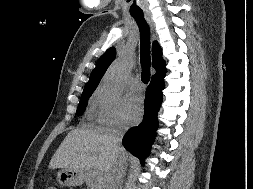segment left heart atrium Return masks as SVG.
<instances>
[{"label": "left heart atrium", "mask_w": 253, "mask_h": 189, "mask_svg": "<svg viewBox=\"0 0 253 189\" xmlns=\"http://www.w3.org/2000/svg\"><path fill=\"white\" fill-rule=\"evenodd\" d=\"M143 112L142 100L140 97L132 95L126 100L123 118L126 124L137 122Z\"/></svg>", "instance_id": "obj_1"}]
</instances>
